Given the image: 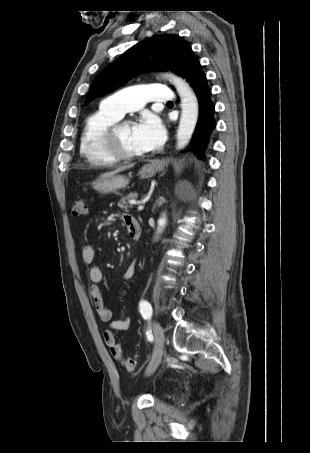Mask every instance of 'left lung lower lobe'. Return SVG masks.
Returning a JSON list of instances; mask_svg holds the SVG:
<instances>
[{
  "label": "left lung lower lobe",
  "instance_id": "1",
  "mask_svg": "<svg viewBox=\"0 0 310 453\" xmlns=\"http://www.w3.org/2000/svg\"><path fill=\"white\" fill-rule=\"evenodd\" d=\"M181 76L186 78L193 87L199 101V120L190 150L202 159L209 142L210 133L215 127L213 119L214 105L211 102V92L207 85L206 76L194 54L189 57Z\"/></svg>",
  "mask_w": 310,
  "mask_h": 453
}]
</instances>
